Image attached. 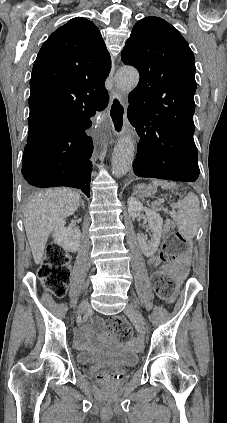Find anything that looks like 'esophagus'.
Masks as SVG:
<instances>
[{
    "label": "esophagus",
    "mask_w": 227,
    "mask_h": 423,
    "mask_svg": "<svg viewBox=\"0 0 227 423\" xmlns=\"http://www.w3.org/2000/svg\"><path fill=\"white\" fill-rule=\"evenodd\" d=\"M125 112H126V107L124 105V102L122 100V97L120 96L119 93H117L116 91L112 92L110 94V100H109V105H108V110H107V114H108V118L111 119L112 123H119L121 124V129L122 128H126L124 126V116H125ZM124 126V127H123ZM128 129L130 128L129 126L127 127ZM113 130H119V125H113ZM118 134H130V131H118Z\"/></svg>",
    "instance_id": "obj_1"
}]
</instances>
